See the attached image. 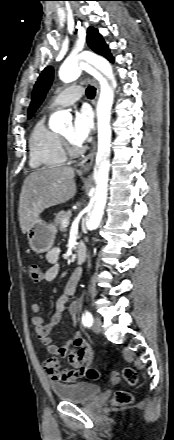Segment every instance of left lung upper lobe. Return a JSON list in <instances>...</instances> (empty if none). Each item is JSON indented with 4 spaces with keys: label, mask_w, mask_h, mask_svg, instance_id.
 I'll return each instance as SVG.
<instances>
[{
    "label": "left lung upper lobe",
    "mask_w": 174,
    "mask_h": 440,
    "mask_svg": "<svg viewBox=\"0 0 174 440\" xmlns=\"http://www.w3.org/2000/svg\"><path fill=\"white\" fill-rule=\"evenodd\" d=\"M87 43L89 47L96 53L104 56L108 60L112 57L108 46L104 42L102 36L98 33V30L89 27L87 30ZM53 80V68L51 66L46 67L40 74L33 90L32 101L28 109V118H31L33 113L37 110L41 102L43 101L47 91L49 90Z\"/></svg>",
    "instance_id": "obj_1"
}]
</instances>
